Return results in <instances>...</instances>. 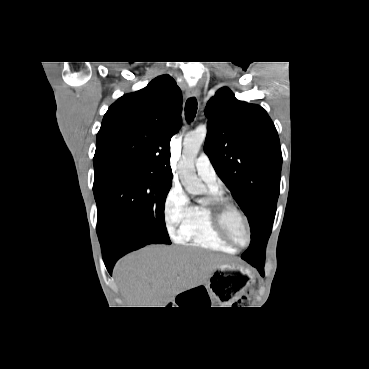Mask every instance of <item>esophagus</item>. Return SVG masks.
<instances>
[{
  "mask_svg": "<svg viewBox=\"0 0 369 369\" xmlns=\"http://www.w3.org/2000/svg\"><path fill=\"white\" fill-rule=\"evenodd\" d=\"M200 89L198 87H192L187 91L188 97H199Z\"/></svg>",
  "mask_w": 369,
  "mask_h": 369,
  "instance_id": "obj_1",
  "label": "esophagus"
}]
</instances>
